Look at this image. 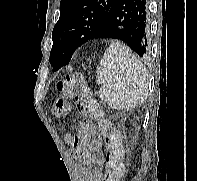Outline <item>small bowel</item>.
Instances as JSON below:
<instances>
[{
    "instance_id": "1",
    "label": "small bowel",
    "mask_w": 197,
    "mask_h": 181,
    "mask_svg": "<svg viewBox=\"0 0 197 181\" xmlns=\"http://www.w3.org/2000/svg\"><path fill=\"white\" fill-rule=\"evenodd\" d=\"M65 138L75 158L80 161L79 180L101 181L102 140L96 132V126L88 121L83 122L76 136L66 135Z\"/></svg>"
}]
</instances>
